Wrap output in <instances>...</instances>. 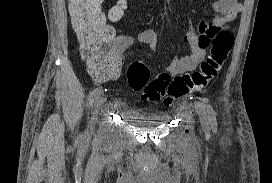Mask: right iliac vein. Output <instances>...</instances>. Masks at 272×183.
<instances>
[{
  "instance_id": "63e3f726",
  "label": "right iliac vein",
  "mask_w": 272,
  "mask_h": 183,
  "mask_svg": "<svg viewBox=\"0 0 272 183\" xmlns=\"http://www.w3.org/2000/svg\"><path fill=\"white\" fill-rule=\"evenodd\" d=\"M104 101H105V98H104V96L102 94L99 95L95 100L93 116L91 118V121H90V124H89V129H88L89 132H93V130H94L98 111H99L101 105L104 103Z\"/></svg>"
}]
</instances>
